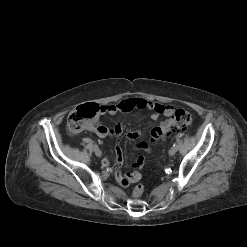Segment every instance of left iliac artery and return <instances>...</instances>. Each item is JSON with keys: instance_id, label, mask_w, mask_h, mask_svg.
Returning <instances> with one entry per match:
<instances>
[{"instance_id": "44dca946", "label": "left iliac artery", "mask_w": 247, "mask_h": 247, "mask_svg": "<svg viewBox=\"0 0 247 247\" xmlns=\"http://www.w3.org/2000/svg\"><path fill=\"white\" fill-rule=\"evenodd\" d=\"M173 147L176 148V149H178V144L177 143H174L173 144Z\"/></svg>"}]
</instances>
